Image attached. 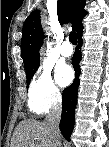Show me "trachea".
Segmentation results:
<instances>
[{
  "label": "trachea",
  "mask_w": 109,
  "mask_h": 147,
  "mask_svg": "<svg viewBox=\"0 0 109 147\" xmlns=\"http://www.w3.org/2000/svg\"><path fill=\"white\" fill-rule=\"evenodd\" d=\"M69 40L73 45H77V38H76V33L71 32L69 35Z\"/></svg>",
  "instance_id": "trachea-1"
}]
</instances>
